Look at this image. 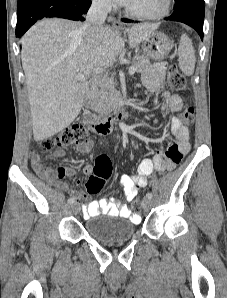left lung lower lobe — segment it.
<instances>
[{
  "mask_svg": "<svg viewBox=\"0 0 227 298\" xmlns=\"http://www.w3.org/2000/svg\"><path fill=\"white\" fill-rule=\"evenodd\" d=\"M175 2L173 14L166 17L165 20L178 21L191 26L203 40L204 0H179ZM122 21L133 22L130 19H122Z\"/></svg>",
  "mask_w": 227,
  "mask_h": 298,
  "instance_id": "obj_1",
  "label": "left lung lower lobe"
}]
</instances>
